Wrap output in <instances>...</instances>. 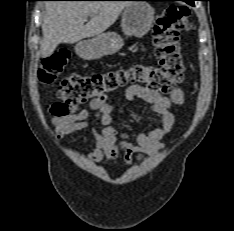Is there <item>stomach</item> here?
Returning <instances> with one entry per match:
<instances>
[{"mask_svg": "<svg viewBox=\"0 0 234 231\" xmlns=\"http://www.w3.org/2000/svg\"><path fill=\"white\" fill-rule=\"evenodd\" d=\"M154 14V9L147 2H130L122 13V31L126 36L143 37L152 27ZM123 45L124 41L119 34L106 32L79 42L76 53L83 59L95 60L118 52Z\"/></svg>", "mask_w": 234, "mask_h": 231, "instance_id": "stomach-1", "label": "stomach"}]
</instances>
